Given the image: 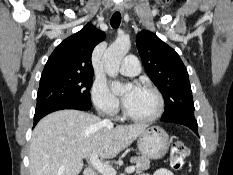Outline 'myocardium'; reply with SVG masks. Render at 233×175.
<instances>
[{
  "instance_id": "obj_1",
  "label": "myocardium",
  "mask_w": 233,
  "mask_h": 175,
  "mask_svg": "<svg viewBox=\"0 0 233 175\" xmlns=\"http://www.w3.org/2000/svg\"><path fill=\"white\" fill-rule=\"evenodd\" d=\"M141 89L143 90H147L150 91L156 98L157 100V107L155 109V111L148 115V116H144V117H139V116H134L132 114H130L125 106V103L123 104V115L125 118H127L128 120H131L133 122H137V123H149L152 121H155L156 119H158L165 108V101H164V97L162 95V93L160 92V90L150 84H144L141 86Z\"/></svg>"
}]
</instances>
